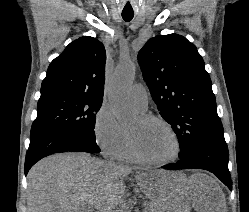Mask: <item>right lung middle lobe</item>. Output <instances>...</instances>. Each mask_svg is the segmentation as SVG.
<instances>
[{"instance_id": "1", "label": "right lung middle lobe", "mask_w": 249, "mask_h": 212, "mask_svg": "<svg viewBox=\"0 0 249 212\" xmlns=\"http://www.w3.org/2000/svg\"><path fill=\"white\" fill-rule=\"evenodd\" d=\"M101 105L102 99L82 94L56 93L41 96L30 136L47 131L68 130L94 141L96 113Z\"/></svg>"}]
</instances>
